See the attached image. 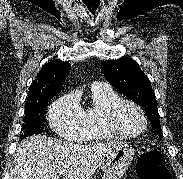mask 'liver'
Returning a JSON list of instances; mask_svg holds the SVG:
<instances>
[{"label":"liver","mask_w":183,"mask_h":179,"mask_svg":"<svg viewBox=\"0 0 183 179\" xmlns=\"http://www.w3.org/2000/svg\"><path fill=\"white\" fill-rule=\"evenodd\" d=\"M113 142L82 145L53 140L46 135L25 138L14 154L10 179H91Z\"/></svg>","instance_id":"liver-1"}]
</instances>
